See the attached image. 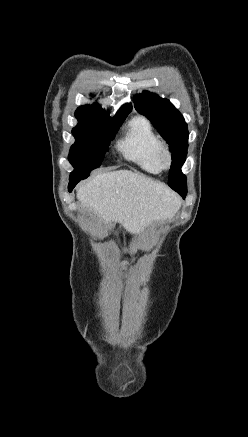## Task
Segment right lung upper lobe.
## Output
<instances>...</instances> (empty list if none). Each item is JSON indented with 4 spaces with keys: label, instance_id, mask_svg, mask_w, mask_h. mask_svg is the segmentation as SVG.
<instances>
[{
    "label": "right lung upper lobe",
    "instance_id": "1",
    "mask_svg": "<svg viewBox=\"0 0 248 437\" xmlns=\"http://www.w3.org/2000/svg\"><path fill=\"white\" fill-rule=\"evenodd\" d=\"M132 110V106L130 104H125L121 107V109L117 112L114 118L109 117V114L103 110L96 103L92 105L80 106L77 108L75 112V116L79 121L89 122V123H101L109 120H117L127 116L128 113Z\"/></svg>",
    "mask_w": 248,
    "mask_h": 437
}]
</instances>
